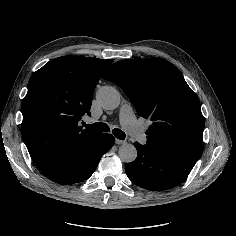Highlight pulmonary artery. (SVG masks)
Instances as JSON below:
<instances>
[{
  "mask_svg": "<svg viewBox=\"0 0 236 236\" xmlns=\"http://www.w3.org/2000/svg\"><path fill=\"white\" fill-rule=\"evenodd\" d=\"M121 121L123 127L131 134V137L135 142H142L146 144V138H144V132L139 124L135 121L133 110L129 106H122L120 108Z\"/></svg>",
  "mask_w": 236,
  "mask_h": 236,
  "instance_id": "obj_1",
  "label": "pulmonary artery"
}]
</instances>
